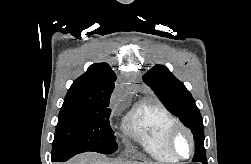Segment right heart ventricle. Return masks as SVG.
I'll return each mask as SVG.
<instances>
[{
	"label": "right heart ventricle",
	"instance_id": "obj_1",
	"mask_svg": "<svg viewBox=\"0 0 251 164\" xmlns=\"http://www.w3.org/2000/svg\"><path fill=\"white\" fill-rule=\"evenodd\" d=\"M176 118L162 104L141 101L134 105L123 122L124 130L129 133L153 159L172 164L173 159L165 149V136Z\"/></svg>",
	"mask_w": 251,
	"mask_h": 164
}]
</instances>
